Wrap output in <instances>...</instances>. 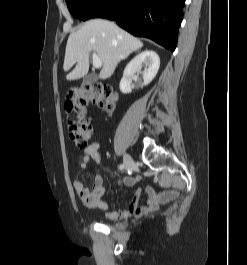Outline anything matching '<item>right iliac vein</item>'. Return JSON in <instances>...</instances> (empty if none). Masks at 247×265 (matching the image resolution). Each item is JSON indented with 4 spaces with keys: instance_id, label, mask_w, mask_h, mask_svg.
I'll list each match as a JSON object with an SVG mask.
<instances>
[{
    "instance_id": "obj_1",
    "label": "right iliac vein",
    "mask_w": 247,
    "mask_h": 265,
    "mask_svg": "<svg viewBox=\"0 0 247 265\" xmlns=\"http://www.w3.org/2000/svg\"><path fill=\"white\" fill-rule=\"evenodd\" d=\"M123 162L127 170H130L134 164V161L129 154L124 155Z\"/></svg>"
}]
</instances>
